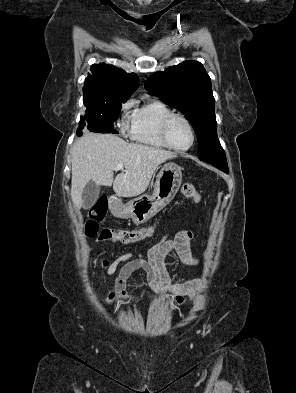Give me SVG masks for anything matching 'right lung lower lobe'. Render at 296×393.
<instances>
[{
  "mask_svg": "<svg viewBox=\"0 0 296 393\" xmlns=\"http://www.w3.org/2000/svg\"><path fill=\"white\" fill-rule=\"evenodd\" d=\"M83 128H84V126H80L77 129V135L78 136L82 135V129ZM87 129H89L92 132H97V133H117V131L114 130V129H104V128H100V127H96V126L87 127Z\"/></svg>",
  "mask_w": 296,
  "mask_h": 393,
  "instance_id": "right-lung-lower-lobe-1",
  "label": "right lung lower lobe"
}]
</instances>
